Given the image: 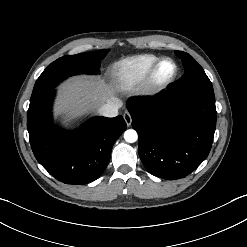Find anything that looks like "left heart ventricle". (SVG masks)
I'll list each match as a JSON object with an SVG mask.
<instances>
[{
    "instance_id": "obj_1",
    "label": "left heart ventricle",
    "mask_w": 247,
    "mask_h": 247,
    "mask_svg": "<svg viewBox=\"0 0 247 247\" xmlns=\"http://www.w3.org/2000/svg\"><path fill=\"white\" fill-rule=\"evenodd\" d=\"M175 72V65L171 61H164L158 68L156 73V80L164 82L168 80Z\"/></svg>"
}]
</instances>
